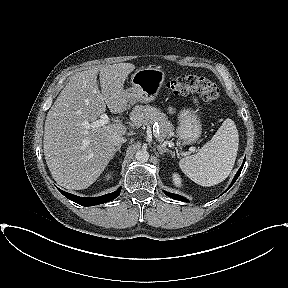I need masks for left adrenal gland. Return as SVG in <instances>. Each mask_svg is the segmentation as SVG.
Wrapping results in <instances>:
<instances>
[{
	"label": "left adrenal gland",
	"instance_id": "1",
	"mask_svg": "<svg viewBox=\"0 0 288 288\" xmlns=\"http://www.w3.org/2000/svg\"><path fill=\"white\" fill-rule=\"evenodd\" d=\"M157 149H158V151H159V153L161 154V155H163L164 153H170L171 155H172V157H174L175 156V153L174 152H172V151H170L168 148H166L165 146H163V145H158L157 146Z\"/></svg>",
	"mask_w": 288,
	"mask_h": 288
}]
</instances>
